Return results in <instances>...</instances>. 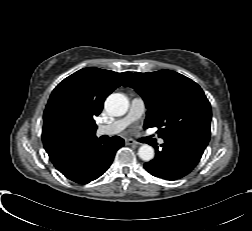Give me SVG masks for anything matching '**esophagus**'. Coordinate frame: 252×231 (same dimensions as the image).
I'll return each instance as SVG.
<instances>
[{
    "label": "esophagus",
    "mask_w": 252,
    "mask_h": 231,
    "mask_svg": "<svg viewBox=\"0 0 252 231\" xmlns=\"http://www.w3.org/2000/svg\"><path fill=\"white\" fill-rule=\"evenodd\" d=\"M125 143H126L127 145H134V146H137V145H138V143L135 142V141L132 140V139H126V140H125Z\"/></svg>",
    "instance_id": "34e87169"
}]
</instances>
